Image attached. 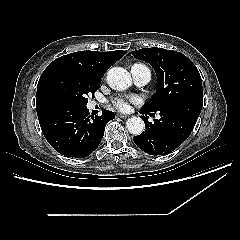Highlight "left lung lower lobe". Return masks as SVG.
Returning <instances> with one entry per match:
<instances>
[{"instance_id":"0a47b994","label":"left lung lower lobe","mask_w":240,"mask_h":240,"mask_svg":"<svg viewBox=\"0 0 240 240\" xmlns=\"http://www.w3.org/2000/svg\"><path fill=\"white\" fill-rule=\"evenodd\" d=\"M203 97H189L161 109L160 120L148 121L142 116L145 131L133 137L135 144L150 155H166L181 145L192 132L201 112ZM144 108L141 113L147 114Z\"/></svg>"}]
</instances>
